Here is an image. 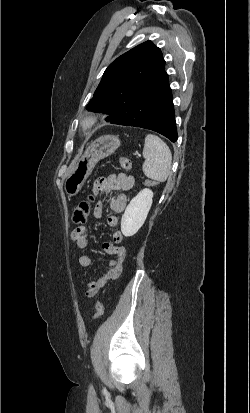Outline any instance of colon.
<instances>
[{
    "mask_svg": "<svg viewBox=\"0 0 250 413\" xmlns=\"http://www.w3.org/2000/svg\"><path fill=\"white\" fill-rule=\"evenodd\" d=\"M120 165L125 170H130L132 168V162L130 159L121 157ZM146 185L148 187H155L158 185V180L155 178H148L146 180ZM93 201V196H89L87 200L80 202L73 211L72 220L75 224H84L89 215L91 210V203ZM104 307L100 301H97L95 304V313L93 319L96 320L103 315Z\"/></svg>",
    "mask_w": 250,
    "mask_h": 413,
    "instance_id": "colon-1",
    "label": "colon"
}]
</instances>
